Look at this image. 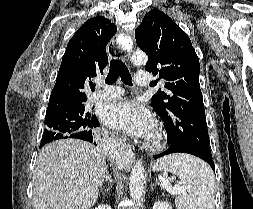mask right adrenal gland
Returning <instances> with one entry per match:
<instances>
[{"instance_id": "2a0ac1e0", "label": "right adrenal gland", "mask_w": 253, "mask_h": 209, "mask_svg": "<svg viewBox=\"0 0 253 209\" xmlns=\"http://www.w3.org/2000/svg\"><path fill=\"white\" fill-rule=\"evenodd\" d=\"M104 179H105V181H107V182H109L110 183V185H111V187H112V178H111V176L108 174V171L106 170L105 172H104V175H103V177H102V182H104ZM107 191H109V189H107Z\"/></svg>"}]
</instances>
